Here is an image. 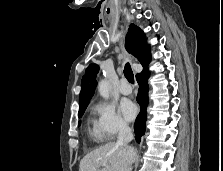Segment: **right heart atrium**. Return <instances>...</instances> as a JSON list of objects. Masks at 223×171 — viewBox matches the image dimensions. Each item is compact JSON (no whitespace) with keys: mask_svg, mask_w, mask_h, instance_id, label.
<instances>
[{"mask_svg":"<svg viewBox=\"0 0 223 171\" xmlns=\"http://www.w3.org/2000/svg\"><path fill=\"white\" fill-rule=\"evenodd\" d=\"M93 112L96 116L94 128L100 139H114L129 129L127 122L116 111L114 105L110 103H95Z\"/></svg>","mask_w":223,"mask_h":171,"instance_id":"1","label":"right heart atrium"}]
</instances>
